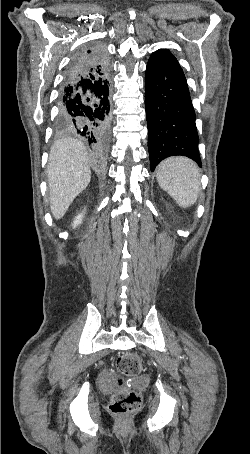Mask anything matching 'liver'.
I'll return each mask as SVG.
<instances>
[{"instance_id":"6515ba94","label":"liver","mask_w":250,"mask_h":454,"mask_svg":"<svg viewBox=\"0 0 250 454\" xmlns=\"http://www.w3.org/2000/svg\"><path fill=\"white\" fill-rule=\"evenodd\" d=\"M47 174L51 212L55 219H61L91 180L85 146L72 138L56 141L50 151Z\"/></svg>"}]
</instances>
